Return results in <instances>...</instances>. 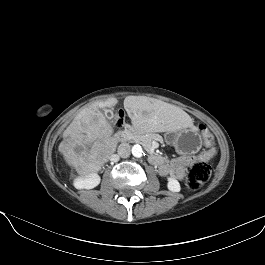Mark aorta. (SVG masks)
<instances>
[{"instance_id":"762f6f07","label":"aorta","mask_w":265,"mask_h":265,"mask_svg":"<svg viewBox=\"0 0 265 265\" xmlns=\"http://www.w3.org/2000/svg\"><path fill=\"white\" fill-rule=\"evenodd\" d=\"M131 151L134 157L140 158L143 155V149L140 145H134Z\"/></svg>"}]
</instances>
